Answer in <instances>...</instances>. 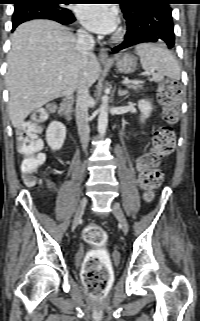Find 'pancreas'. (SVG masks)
Wrapping results in <instances>:
<instances>
[{
    "instance_id": "cf45deb5",
    "label": "pancreas",
    "mask_w": 200,
    "mask_h": 321,
    "mask_svg": "<svg viewBox=\"0 0 200 321\" xmlns=\"http://www.w3.org/2000/svg\"><path fill=\"white\" fill-rule=\"evenodd\" d=\"M128 88L134 89V90H139V89H143V86L138 84H128Z\"/></svg>"
}]
</instances>
